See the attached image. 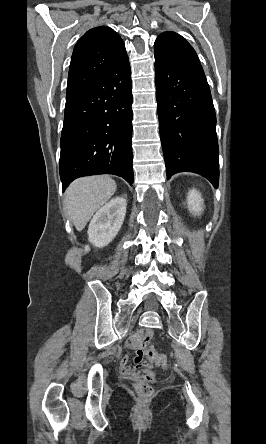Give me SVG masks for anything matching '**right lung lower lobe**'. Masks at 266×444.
<instances>
[{
    "instance_id": "obj_1",
    "label": "right lung lower lobe",
    "mask_w": 266,
    "mask_h": 444,
    "mask_svg": "<svg viewBox=\"0 0 266 444\" xmlns=\"http://www.w3.org/2000/svg\"><path fill=\"white\" fill-rule=\"evenodd\" d=\"M131 90L127 57L66 100L59 167L63 191L74 179L96 174L118 175L132 185Z\"/></svg>"
}]
</instances>
